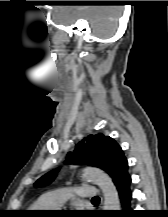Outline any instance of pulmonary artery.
Instances as JSON below:
<instances>
[{
	"label": "pulmonary artery",
	"instance_id": "1",
	"mask_svg": "<svg viewBox=\"0 0 168 217\" xmlns=\"http://www.w3.org/2000/svg\"><path fill=\"white\" fill-rule=\"evenodd\" d=\"M100 195V188L95 186H81L75 188H60L51 190L42 196L41 200L52 209H58L72 197L90 200Z\"/></svg>",
	"mask_w": 168,
	"mask_h": 217
}]
</instances>
